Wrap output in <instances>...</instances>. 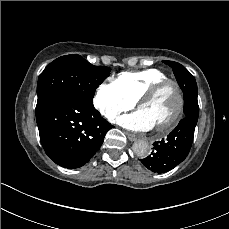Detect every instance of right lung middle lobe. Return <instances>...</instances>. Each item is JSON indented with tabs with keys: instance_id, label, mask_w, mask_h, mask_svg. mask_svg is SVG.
Returning a JSON list of instances; mask_svg holds the SVG:
<instances>
[{
	"instance_id": "1",
	"label": "right lung middle lobe",
	"mask_w": 229,
	"mask_h": 229,
	"mask_svg": "<svg viewBox=\"0 0 229 229\" xmlns=\"http://www.w3.org/2000/svg\"><path fill=\"white\" fill-rule=\"evenodd\" d=\"M106 66H94L80 55L57 58L40 74L37 84L38 114L53 99L67 94L93 103L96 88L110 75Z\"/></svg>"
}]
</instances>
